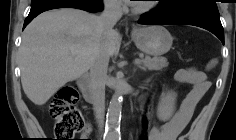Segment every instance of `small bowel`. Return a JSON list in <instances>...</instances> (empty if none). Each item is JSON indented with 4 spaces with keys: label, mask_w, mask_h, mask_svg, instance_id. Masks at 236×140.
Segmentation results:
<instances>
[{
    "label": "small bowel",
    "mask_w": 236,
    "mask_h": 140,
    "mask_svg": "<svg viewBox=\"0 0 236 140\" xmlns=\"http://www.w3.org/2000/svg\"><path fill=\"white\" fill-rule=\"evenodd\" d=\"M175 79L178 82L191 85L192 88L182 100L173 117L160 128L153 127L150 130L149 140L179 139L178 137L190 122L199 101L211 86L206 73L193 67L179 69L175 74ZM90 133L91 126L86 124L82 132L83 138H88Z\"/></svg>",
    "instance_id": "c3829d8e"
}]
</instances>
